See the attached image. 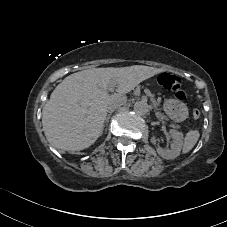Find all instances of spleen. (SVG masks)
<instances>
[{
  "mask_svg": "<svg viewBox=\"0 0 227 227\" xmlns=\"http://www.w3.org/2000/svg\"><path fill=\"white\" fill-rule=\"evenodd\" d=\"M200 132L198 130H190L186 133L183 141L182 151L181 153L187 154L192 150V148L196 145L199 140Z\"/></svg>",
  "mask_w": 227,
  "mask_h": 227,
  "instance_id": "3e777b00",
  "label": "spleen"
}]
</instances>
